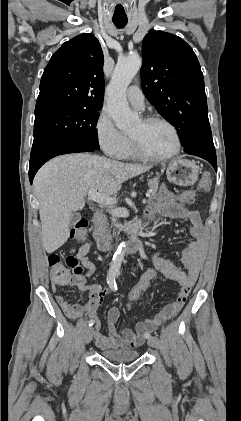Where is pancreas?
I'll use <instances>...</instances> for the list:
<instances>
[{"mask_svg":"<svg viewBox=\"0 0 241 421\" xmlns=\"http://www.w3.org/2000/svg\"><path fill=\"white\" fill-rule=\"evenodd\" d=\"M158 183H159L158 178H153V179L149 180L148 186H149V192L151 194H156V192L158 190ZM115 221H116L115 218H113L114 226H116L119 230H122V228L130 226L129 223H126L124 226H122L120 224H116Z\"/></svg>","mask_w":241,"mask_h":421,"instance_id":"pancreas-1","label":"pancreas"}]
</instances>
